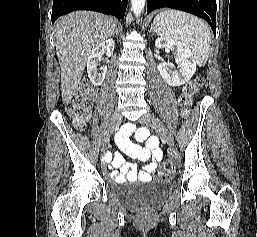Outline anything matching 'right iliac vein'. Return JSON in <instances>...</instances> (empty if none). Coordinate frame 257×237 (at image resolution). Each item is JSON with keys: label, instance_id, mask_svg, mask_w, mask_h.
<instances>
[{"label": "right iliac vein", "instance_id": "obj_1", "mask_svg": "<svg viewBox=\"0 0 257 237\" xmlns=\"http://www.w3.org/2000/svg\"><path fill=\"white\" fill-rule=\"evenodd\" d=\"M121 121H122L121 113L118 110H115L113 112V115H112L109 132H108L107 136L105 137V139L102 143V150L103 151H106L108 149L110 137L113 134V132L118 129L119 125L121 124Z\"/></svg>", "mask_w": 257, "mask_h": 237}]
</instances>
